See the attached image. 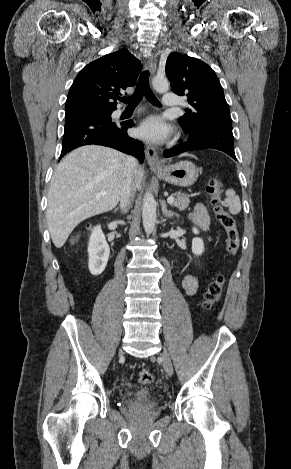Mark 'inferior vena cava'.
<instances>
[{
    "label": "inferior vena cava",
    "instance_id": "obj_1",
    "mask_svg": "<svg viewBox=\"0 0 291 469\" xmlns=\"http://www.w3.org/2000/svg\"><path fill=\"white\" fill-rule=\"evenodd\" d=\"M138 168V161L131 156L126 158L124 178L121 185L120 207L123 212H128L132 206L135 193V174Z\"/></svg>",
    "mask_w": 291,
    "mask_h": 469
}]
</instances>
